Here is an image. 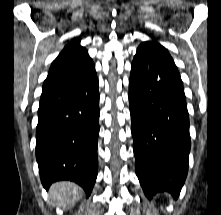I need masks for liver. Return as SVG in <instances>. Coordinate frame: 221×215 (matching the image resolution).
<instances>
[{
	"mask_svg": "<svg viewBox=\"0 0 221 215\" xmlns=\"http://www.w3.org/2000/svg\"><path fill=\"white\" fill-rule=\"evenodd\" d=\"M82 194L83 190L69 181L54 183L49 190V198L53 204L64 210L72 208L81 199Z\"/></svg>",
	"mask_w": 221,
	"mask_h": 215,
	"instance_id": "1",
	"label": "liver"
}]
</instances>
